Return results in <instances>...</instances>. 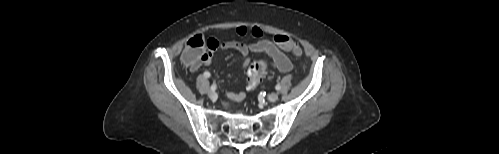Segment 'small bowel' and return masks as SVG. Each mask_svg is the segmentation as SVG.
Returning a JSON list of instances; mask_svg holds the SVG:
<instances>
[{"label": "small bowel", "instance_id": "1", "mask_svg": "<svg viewBox=\"0 0 499 154\" xmlns=\"http://www.w3.org/2000/svg\"><path fill=\"white\" fill-rule=\"evenodd\" d=\"M236 33L240 36H252L254 38H261L262 36V31L258 27H246V26H239L236 28ZM209 47L210 50H217V49H234L236 50L239 55L240 59L242 62V65L247 68L249 67L251 61L249 58L250 52H261L265 53L268 56H270L273 60L272 67L276 68L282 73H287L292 70V63L290 59L279 49V47L272 41L265 40V39H258L257 41H254L249 44H244L238 41H232V40H226V41H221L217 40L215 38H210L209 39ZM210 59V58H209ZM208 60L205 61L207 63ZM195 69V68H193ZM228 97L235 100V101H241L245 98V93L244 92H238V93H228Z\"/></svg>", "mask_w": 499, "mask_h": 154}]
</instances>
